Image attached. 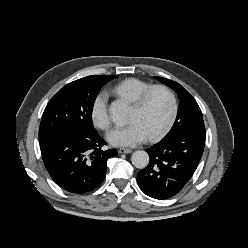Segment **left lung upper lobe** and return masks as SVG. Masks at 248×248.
I'll return each instance as SVG.
<instances>
[{
	"instance_id": "5c2ea615",
	"label": "left lung upper lobe",
	"mask_w": 248,
	"mask_h": 248,
	"mask_svg": "<svg viewBox=\"0 0 248 248\" xmlns=\"http://www.w3.org/2000/svg\"><path fill=\"white\" fill-rule=\"evenodd\" d=\"M156 79L172 88L180 99L174 125L163 139L186 132L206 135L202 112L191 94L177 82L157 76Z\"/></svg>"
}]
</instances>
